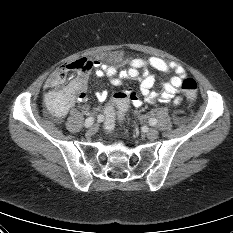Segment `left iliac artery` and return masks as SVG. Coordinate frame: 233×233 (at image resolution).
Wrapping results in <instances>:
<instances>
[{"mask_svg": "<svg viewBox=\"0 0 233 233\" xmlns=\"http://www.w3.org/2000/svg\"><path fill=\"white\" fill-rule=\"evenodd\" d=\"M149 124L152 125V126H154V125L157 124V120H156L155 118H151V119L149 120Z\"/></svg>", "mask_w": 233, "mask_h": 233, "instance_id": "left-iliac-artery-1", "label": "left iliac artery"}]
</instances>
